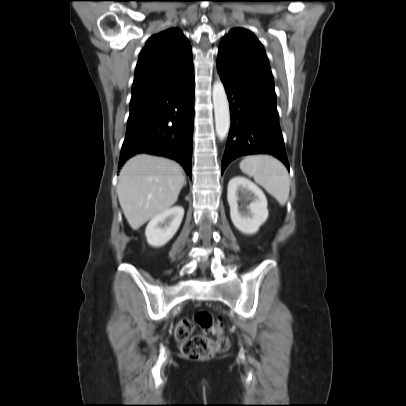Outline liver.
I'll list each match as a JSON object with an SVG mask.
<instances>
[{"instance_id":"6515ba94","label":"liver","mask_w":406,"mask_h":406,"mask_svg":"<svg viewBox=\"0 0 406 406\" xmlns=\"http://www.w3.org/2000/svg\"><path fill=\"white\" fill-rule=\"evenodd\" d=\"M182 167L175 161L146 154L126 162L118 177L117 194L133 230L168 210L185 183Z\"/></svg>"}]
</instances>
